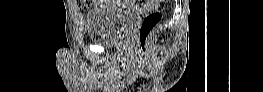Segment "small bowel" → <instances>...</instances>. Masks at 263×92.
<instances>
[{
  "mask_svg": "<svg viewBox=\"0 0 263 92\" xmlns=\"http://www.w3.org/2000/svg\"><path fill=\"white\" fill-rule=\"evenodd\" d=\"M153 3H157L158 1H152ZM130 4H132V5H134L136 8H137V5H136V3H133V2H131V3H128V5H130ZM141 10H142V8H141Z\"/></svg>",
  "mask_w": 263,
  "mask_h": 92,
  "instance_id": "1",
  "label": "small bowel"
}]
</instances>
